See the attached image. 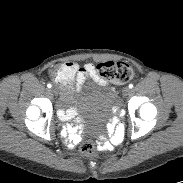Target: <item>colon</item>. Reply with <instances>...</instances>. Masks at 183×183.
<instances>
[{
    "label": "colon",
    "instance_id": "1",
    "mask_svg": "<svg viewBox=\"0 0 183 183\" xmlns=\"http://www.w3.org/2000/svg\"><path fill=\"white\" fill-rule=\"evenodd\" d=\"M97 71L102 78L120 84L132 80L136 75L134 68L130 64L122 61L102 62L97 66ZM55 80L61 85L63 82L69 80V76L57 72L55 74ZM81 152L87 158L94 157V142L92 140L85 141L81 146Z\"/></svg>",
    "mask_w": 183,
    "mask_h": 183
}]
</instances>
